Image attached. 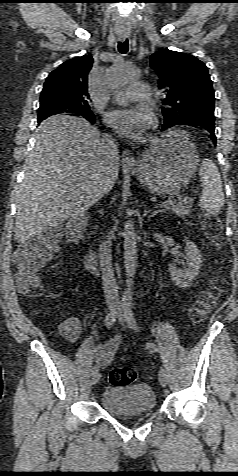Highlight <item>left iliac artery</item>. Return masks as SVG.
I'll return each mask as SVG.
<instances>
[{"label": "left iliac artery", "instance_id": "obj_1", "mask_svg": "<svg viewBox=\"0 0 238 476\" xmlns=\"http://www.w3.org/2000/svg\"><path fill=\"white\" fill-rule=\"evenodd\" d=\"M124 314H125L126 321L129 324V326L132 329H134L135 331H138V325H137L134 313L132 311V306L131 305H126L124 307ZM146 347H147V349H149L153 352H159L160 351V348L157 345H155L151 342L146 343Z\"/></svg>", "mask_w": 238, "mask_h": 476}]
</instances>
